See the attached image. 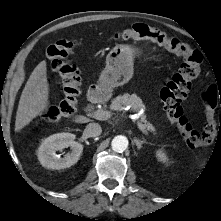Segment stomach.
I'll use <instances>...</instances> for the list:
<instances>
[{"label":"stomach","mask_w":221,"mask_h":221,"mask_svg":"<svg viewBox=\"0 0 221 221\" xmlns=\"http://www.w3.org/2000/svg\"><path fill=\"white\" fill-rule=\"evenodd\" d=\"M139 49L127 45H116L106 57V66L99 82L102 87L114 88L127 83L133 75V60Z\"/></svg>","instance_id":"1"}]
</instances>
